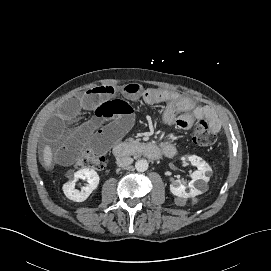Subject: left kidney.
Segmentation results:
<instances>
[{
	"label": "left kidney",
	"instance_id": "1",
	"mask_svg": "<svg viewBox=\"0 0 271 271\" xmlns=\"http://www.w3.org/2000/svg\"><path fill=\"white\" fill-rule=\"evenodd\" d=\"M190 163L198 169L191 174V181L188 186H185L180 180H175L170 184V191L173 195L181 198H189L196 196L200 190L197 186L200 185L199 181L202 180L205 184L209 181L211 175V167L202 158L191 155L188 157ZM189 188V192L186 189Z\"/></svg>",
	"mask_w": 271,
	"mask_h": 271
}]
</instances>
